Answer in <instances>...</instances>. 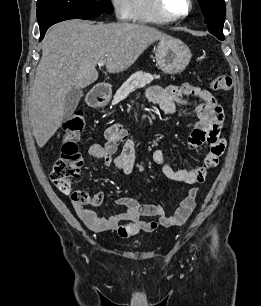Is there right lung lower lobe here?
<instances>
[{
	"instance_id": "obj_1",
	"label": "right lung lower lobe",
	"mask_w": 261,
	"mask_h": 306,
	"mask_svg": "<svg viewBox=\"0 0 261 306\" xmlns=\"http://www.w3.org/2000/svg\"><path fill=\"white\" fill-rule=\"evenodd\" d=\"M96 13H76L70 11L37 9V19L40 28V41L43 39L46 30L55 23L69 19H92L98 17Z\"/></svg>"
}]
</instances>
